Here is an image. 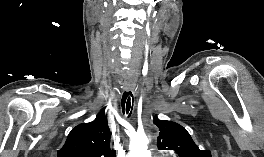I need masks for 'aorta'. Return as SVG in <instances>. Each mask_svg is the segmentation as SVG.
<instances>
[{
	"label": "aorta",
	"mask_w": 264,
	"mask_h": 157,
	"mask_svg": "<svg viewBox=\"0 0 264 157\" xmlns=\"http://www.w3.org/2000/svg\"><path fill=\"white\" fill-rule=\"evenodd\" d=\"M148 143L149 140L146 135H134L130 142V157H150Z\"/></svg>",
	"instance_id": "1"
}]
</instances>
